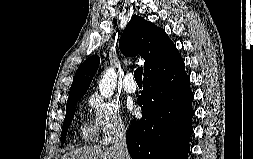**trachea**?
<instances>
[{
    "label": "trachea",
    "mask_w": 253,
    "mask_h": 159,
    "mask_svg": "<svg viewBox=\"0 0 253 159\" xmlns=\"http://www.w3.org/2000/svg\"><path fill=\"white\" fill-rule=\"evenodd\" d=\"M142 74H143L142 67H139L138 69L135 70L134 77L137 83L142 82Z\"/></svg>",
    "instance_id": "trachea-1"
}]
</instances>
